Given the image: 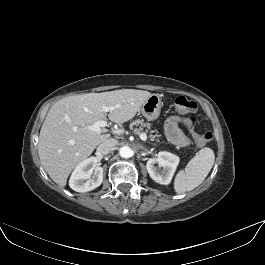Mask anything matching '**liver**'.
I'll list each match as a JSON object with an SVG mask.
<instances>
[{
  "instance_id": "6515ba94",
  "label": "liver",
  "mask_w": 265,
  "mask_h": 265,
  "mask_svg": "<svg viewBox=\"0 0 265 265\" xmlns=\"http://www.w3.org/2000/svg\"><path fill=\"white\" fill-rule=\"evenodd\" d=\"M152 94L148 91L121 89L65 97L49 110L41 127L38 154L50 178L64 187L71 171L87 159L107 139V129L93 131L91 126L106 118L121 124L132 119Z\"/></svg>"
}]
</instances>
